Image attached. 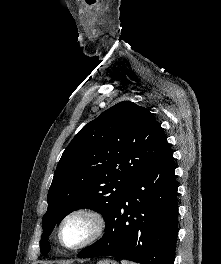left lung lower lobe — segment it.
I'll use <instances>...</instances> for the list:
<instances>
[{"instance_id": "0a47b994", "label": "left lung lower lobe", "mask_w": 221, "mask_h": 264, "mask_svg": "<svg viewBox=\"0 0 221 264\" xmlns=\"http://www.w3.org/2000/svg\"><path fill=\"white\" fill-rule=\"evenodd\" d=\"M177 214L173 152L166 143L105 220L103 237L77 257L114 256L141 264H174Z\"/></svg>"}]
</instances>
